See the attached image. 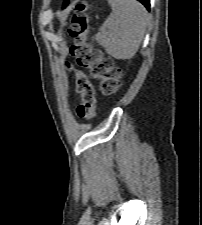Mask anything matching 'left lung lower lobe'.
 <instances>
[{
	"mask_svg": "<svg viewBox=\"0 0 202 225\" xmlns=\"http://www.w3.org/2000/svg\"><path fill=\"white\" fill-rule=\"evenodd\" d=\"M141 2L147 9L150 7V0H138Z\"/></svg>",
	"mask_w": 202,
	"mask_h": 225,
	"instance_id": "obj_1",
	"label": "left lung lower lobe"
}]
</instances>
